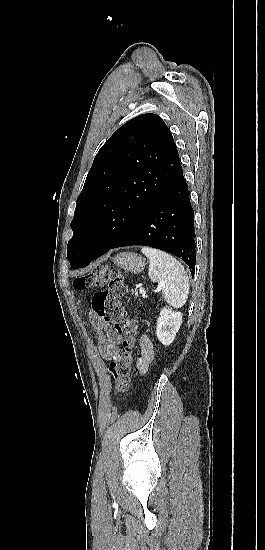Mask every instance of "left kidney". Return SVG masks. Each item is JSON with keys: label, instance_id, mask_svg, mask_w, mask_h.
<instances>
[{"label": "left kidney", "instance_id": "1", "mask_svg": "<svg viewBox=\"0 0 265 550\" xmlns=\"http://www.w3.org/2000/svg\"><path fill=\"white\" fill-rule=\"evenodd\" d=\"M182 323V313L164 307L157 319L156 336L165 346L170 345L179 331Z\"/></svg>", "mask_w": 265, "mask_h": 550}]
</instances>
